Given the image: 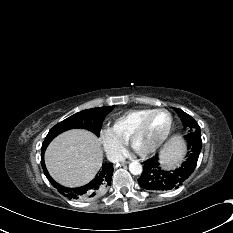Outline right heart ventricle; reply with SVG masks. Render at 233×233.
Returning a JSON list of instances; mask_svg holds the SVG:
<instances>
[{"label": "right heart ventricle", "instance_id": "obj_1", "mask_svg": "<svg viewBox=\"0 0 233 233\" xmlns=\"http://www.w3.org/2000/svg\"><path fill=\"white\" fill-rule=\"evenodd\" d=\"M150 108L132 109L117 117L111 124L108 133L123 145L128 144L130 135L140 119Z\"/></svg>", "mask_w": 233, "mask_h": 233}]
</instances>
